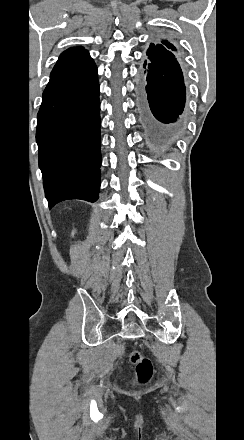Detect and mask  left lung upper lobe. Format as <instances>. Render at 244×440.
Returning a JSON list of instances; mask_svg holds the SVG:
<instances>
[{
	"label": "left lung upper lobe",
	"mask_w": 244,
	"mask_h": 440,
	"mask_svg": "<svg viewBox=\"0 0 244 440\" xmlns=\"http://www.w3.org/2000/svg\"><path fill=\"white\" fill-rule=\"evenodd\" d=\"M172 53L177 57L176 47L168 40L162 39L150 44L147 50L148 58L154 61L171 62L173 61ZM177 59V58H176Z\"/></svg>",
	"instance_id": "obj_1"
}]
</instances>
